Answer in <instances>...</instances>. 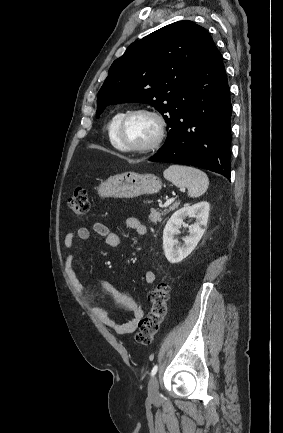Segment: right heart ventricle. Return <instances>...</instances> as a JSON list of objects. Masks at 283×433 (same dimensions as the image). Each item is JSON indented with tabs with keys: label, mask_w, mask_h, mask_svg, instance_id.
<instances>
[{
	"label": "right heart ventricle",
	"mask_w": 283,
	"mask_h": 433,
	"mask_svg": "<svg viewBox=\"0 0 283 433\" xmlns=\"http://www.w3.org/2000/svg\"><path fill=\"white\" fill-rule=\"evenodd\" d=\"M125 112H126L125 110H120V111L115 112L111 116V118L108 122V125H107L108 139H109L110 143L112 144V146L117 150H121V149L119 148L118 143L116 141V137H115L116 127H117L119 120L121 119V117L124 115Z\"/></svg>",
	"instance_id": "e07e8e85"
}]
</instances>
